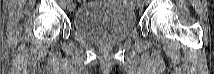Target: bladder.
I'll use <instances>...</instances> for the list:
<instances>
[{
    "label": "bladder",
    "instance_id": "obj_1",
    "mask_svg": "<svg viewBox=\"0 0 214 74\" xmlns=\"http://www.w3.org/2000/svg\"><path fill=\"white\" fill-rule=\"evenodd\" d=\"M135 25L134 11L114 0L84 4L72 20L73 30L92 41H120L134 30Z\"/></svg>",
    "mask_w": 214,
    "mask_h": 74
}]
</instances>
